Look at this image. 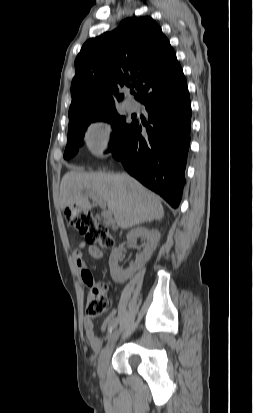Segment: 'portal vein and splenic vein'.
Here are the masks:
<instances>
[{
  "label": "portal vein and splenic vein",
  "instance_id": "18ae733b",
  "mask_svg": "<svg viewBox=\"0 0 253 413\" xmlns=\"http://www.w3.org/2000/svg\"><path fill=\"white\" fill-rule=\"evenodd\" d=\"M86 195L88 197H90L93 201L97 202L100 205V207L104 209L103 216L105 218H110L111 217V212L106 210L105 202L98 195H96L95 192L88 191V192H86Z\"/></svg>",
  "mask_w": 253,
  "mask_h": 413
}]
</instances>
